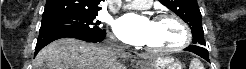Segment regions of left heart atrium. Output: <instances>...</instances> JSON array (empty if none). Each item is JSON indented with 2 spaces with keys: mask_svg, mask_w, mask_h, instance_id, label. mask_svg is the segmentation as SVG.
<instances>
[{
  "mask_svg": "<svg viewBox=\"0 0 246 69\" xmlns=\"http://www.w3.org/2000/svg\"><path fill=\"white\" fill-rule=\"evenodd\" d=\"M151 21L137 14H126L115 21L114 30L120 40L130 45L146 43Z\"/></svg>",
  "mask_w": 246,
  "mask_h": 69,
  "instance_id": "obj_1",
  "label": "left heart atrium"
}]
</instances>
